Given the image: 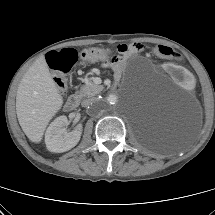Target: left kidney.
<instances>
[{"instance_id": "1", "label": "left kidney", "mask_w": 215, "mask_h": 215, "mask_svg": "<svg viewBox=\"0 0 215 215\" xmlns=\"http://www.w3.org/2000/svg\"><path fill=\"white\" fill-rule=\"evenodd\" d=\"M164 72L167 76L173 78L174 81L180 83L187 89H192L196 85V80L185 68L176 66L173 63L166 64Z\"/></svg>"}]
</instances>
